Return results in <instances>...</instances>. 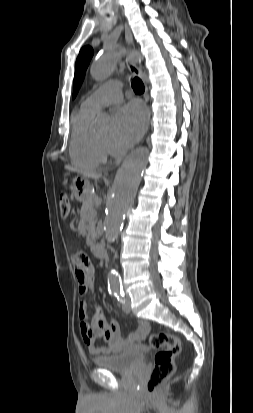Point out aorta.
I'll return each mask as SVG.
<instances>
[{"instance_id":"aorta-1","label":"aorta","mask_w":253,"mask_h":413,"mask_svg":"<svg viewBox=\"0 0 253 413\" xmlns=\"http://www.w3.org/2000/svg\"><path fill=\"white\" fill-rule=\"evenodd\" d=\"M118 50H107L90 69L91 76L96 81L107 79L117 65ZM96 127L100 130L111 128V119L108 114L101 113L97 117ZM148 163V150L140 148L132 152L123 162L117 172L115 188L111 200L107 205V213L103 224L105 239L109 242L120 233L126 211L134 202L141 175ZM120 279L115 270L108 275V288L119 291Z\"/></svg>"}]
</instances>
